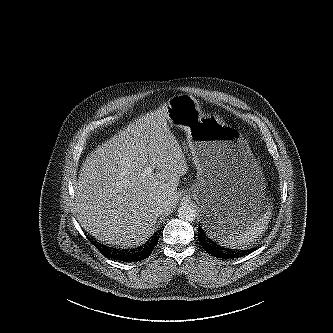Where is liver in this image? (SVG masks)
<instances>
[{
    "instance_id": "liver-1",
    "label": "liver",
    "mask_w": 333,
    "mask_h": 333,
    "mask_svg": "<svg viewBox=\"0 0 333 333\" xmlns=\"http://www.w3.org/2000/svg\"><path fill=\"white\" fill-rule=\"evenodd\" d=\"M167 114L163 106L140 117L86 158L75 188V213L100 242L139 245L154 233L159 201L166 203L165 212L176 206L188 167Z\"/></svg>"
}]
</instances>
